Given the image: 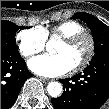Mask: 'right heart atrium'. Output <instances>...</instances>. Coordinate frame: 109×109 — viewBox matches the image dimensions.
Masks as SVG:
<instances>
[{
    "mask_svg": "<svg viewBox=\"0 0 109 109\" xmlns=\"http://www.w3.org/2000/svg\"><path fill=\"white\" fill-rule=\"evenodd\" d=\"M19 52L24 57H31L44 50L47 37L40 27L22 30L16 35Z\"/></svg>",
    "mask_w": 109,
    "mask_h": 109,
    "instance_id": "right-heart-atrium-1",
    "label": "right heart atrium"
}]
</instances>
